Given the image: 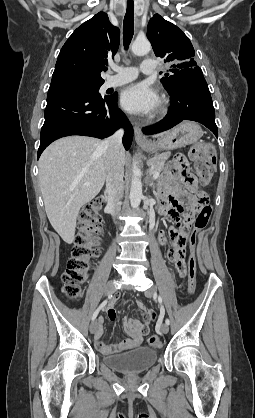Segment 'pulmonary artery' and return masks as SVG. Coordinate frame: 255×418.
<instances>
[{
    "label": "pulmonary artery",
    "mask_w": 255,
    "mask_h": 418,
    "mask_svg": "<svg viewBox=\"0 0 255 418\" xmlns=\"http://www.w3.org/2000/svg\"><path fill=\"white\" fill-rule=\"evenodd\" d=\"M145 74L153 73L156 69V61L152 58H145L140 67ZM115 75L109 76L105 81L106 88L126 84L137 77V69L134 67H114Z\"/></svg>",
    "instance_id": "pulmonary-artery-1"
}]
</instances>
